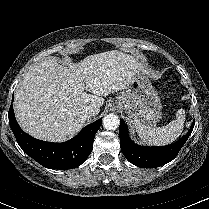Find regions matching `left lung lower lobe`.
<instances>
[{"label":"left lung lower lobe","mask_w":209,"mask_h":209,"mask_svg":"<svg viewBox=\"0 0 209 209\" xmlns=\"http://www.w3.org/2000/svg\"><path fill=\"white\" fill-rule=\"evenodd\" d=\"M193 121L188 133L179 141L162 147H144L134 144L128 135V129L124 121H120V144L121 151L126 159L137 167L154 168L172 161L189 138L194 128Z\"/></svg>","instance_id":"obj_1"}]
</instances>
